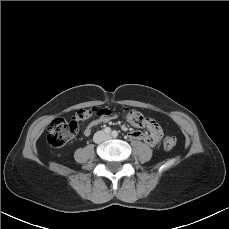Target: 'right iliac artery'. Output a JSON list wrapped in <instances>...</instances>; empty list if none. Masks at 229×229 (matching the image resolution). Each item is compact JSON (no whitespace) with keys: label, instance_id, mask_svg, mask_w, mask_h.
<instances>
[{"label":"right iliac artery","instance_id":"1","mask_svg":"<svg viewBox=\"0 0 229 229\" xmlns=\"http://www.w3.org/2000/svg\"><path fill=\"white\" fill-rule=\"evenodd\" d=\"M104 131H105L106 134H110V133H111V128L106 127V128L104 129Z\"/></svg>","mask_w":229,"mask_h":229}]
</instances>
